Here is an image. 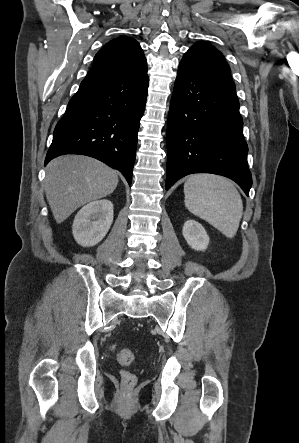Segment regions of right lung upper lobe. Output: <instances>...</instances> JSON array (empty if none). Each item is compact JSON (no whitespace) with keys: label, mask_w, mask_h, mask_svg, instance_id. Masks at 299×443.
I'll return each mask as SVG.
<instances>
[{"label":"right lung upper lobe","mask_w":299,"mask_h":443,"mask_svg":"<svg viewBox=\"0 0 299 443\" xmlns=\"http://www.w3.org/2000/svg\"><path fill=\"white\" fill-rule=\"evenodd\" d=\"M147 71L146 58L139 43L121 36L109 41L94 57L86 78L139 75Z\"/></svg>","instance_id":"right-lung-upper-lobe-1"}]
</instances>
